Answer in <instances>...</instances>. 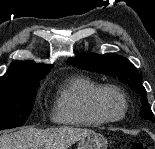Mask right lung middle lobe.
Wrapping results in <instances>:
<instances>
[{"mask_svg": "<svg viewBox=\"0 0 155 149\" xmlns=\"http://www.w3.org/2000/svg\"><path fill=\"white\" fill-rule=\"evenodd\" d=\"M43 78L0 80V130L25 124Z\"/></svg>", "mask_w": 155, "mask_h": 149, "instance_id": "obj_1", "label": "right lung middle lobe"}]
</instances>
